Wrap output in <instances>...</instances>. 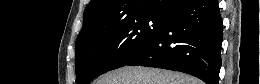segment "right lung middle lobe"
<instances>
[{"instance_id":"1","label":"right lung middle lobe","mask_w":260,"mask_h":84,"mask_svg":"<svg viewBox=\"0 0 260 84\" xmlns=\"http://www.w3.org/2000/svg\"><path fill=\"white\" fill-rule=\"evenodd\" d=\"M168 14H140L100 26L89 40L75 45L77 84L127 65L143 53L167 24Z\"/></svg>"}]
</instances>
